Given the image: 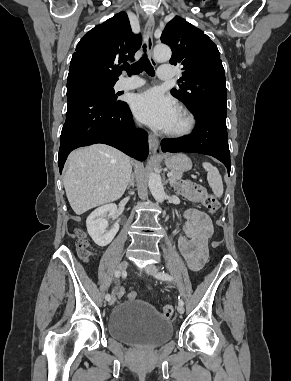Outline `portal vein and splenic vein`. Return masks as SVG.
<instances>
[{
    "mask_svg": "<svg viewBox=\"0 0 291 381\" xmlns=\"http://www.w3.org/2000/svg\"><path fill=\"white\" fill-rule=\"evenodd\" d=\"M172 175H173V174H172L171 172H169V173L167 174V177L170 178V177H172Z\"/></svg>",
    "mask_w": 291,
    "mask_h": 381,
    "instance_id": "1",
    "label": "portal vein and splenic vein"
}]
</instances>
